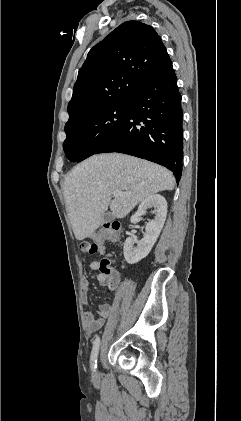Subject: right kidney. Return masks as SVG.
Returning <instances> with one entry per match:
<instances>
[{
    "instance_id": "obj_1",
    "label": "right kidney",
    "mask_w": 241,
    "mask_h": 421,
    "mask_svg": "<svg viewBox=\"0 0 241 421\" xmlns=\"http://www.w3.org/2000/svg\"><path fill=\"white\" fill-rule=\"evenodd\" d=\"M150 207L155 208L156 216L146 224L144 238L138 240L134 235H131L125 240L124 257L129 264L138 263L150 253L164 226L167 215V202L159 194L150 195L140 203L138 210L131 217V223H136L139 217L144 215ZM135 244H137L136 247L134 246Z\"/></svg>"
}]
</instances>
